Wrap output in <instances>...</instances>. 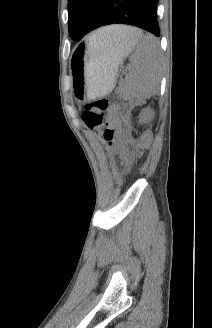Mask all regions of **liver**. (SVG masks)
Listing matches in <instances>:
<instances>
[{
	"label": "liver",
	"mask_w": 212,
	"mask_h": 328,
	"mask_svg": "<svg viewBox=\"0 0 212 328\" xmlns=\"http://www.w3.org/2000/svg\"><path fill=\"white\" fill-rule=\"evenodd\" d=\"M139 32L138 29L123 25L106 27L101 32L105 39L104 47L115 49L118 46L131 45L137 41L136 35Z\"/></svg>",
	"instance_id": "liver-1"
}]
</instances>
